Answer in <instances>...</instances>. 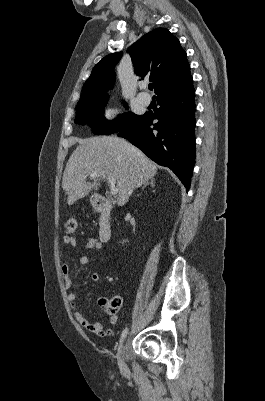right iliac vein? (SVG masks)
Segmentation results:
<instances>
[{"label":"right iliac vein","instance_id":"right-iliac-vein-1","mask_svg":"<svg viewBox=\"0 0 265 401\" xmlns=\"http://www.w3.org/2000/svg\"><path fill=\"white\" fill-rule=\"evenodd\" d=\"M124 344H125V342L122 341L120 343V345L118 347V351H117V362H118L119 369L121 371H126L127 367H128V365L126 363V358L123 353Z\"/></svg>","mask_w":265,"mask_h":401}]
</instances>
